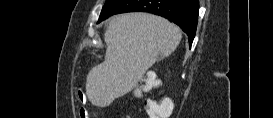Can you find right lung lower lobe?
<instances>
[{
  "instance_id": "obj_1",
  "label": "right lung lower lobe",
  "mask_w": 273,
  "mask_h": 118,
  "mask_svg": "<svg viewBox=\"0 0 273 118\" xmlns=\"http://www.w3.org/2000/svg\"><path fill=\"white\" fill-rule=\"evenodd\" d=\"M126 12H149L167 18L188 35L191 46L198 22L199 0H122L110 16Z\"/></svg>"
}]
</instances>
